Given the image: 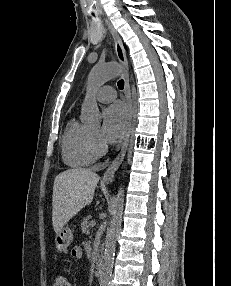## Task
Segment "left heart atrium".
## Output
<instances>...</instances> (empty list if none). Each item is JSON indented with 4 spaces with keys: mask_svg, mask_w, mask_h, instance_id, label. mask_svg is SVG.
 <instances>
[{
    "mask_svg": "<svg viewBox=\"0 0 231 286\" xmlns=\"http://www.w3.org/2000/svg\"><path fill=\"white\" fill-rule=\"evenodd\" d=\"M129 113L121 103L109 106L103 113V125L99 133L100 140L107 144L119 142L126 134Z\"/></svg>",
    "mask_w": 231,
    "mask_h": 286,
    "instance_id": "39dd6f15",
    "label": "left heart atrium"
}]
</instances>
